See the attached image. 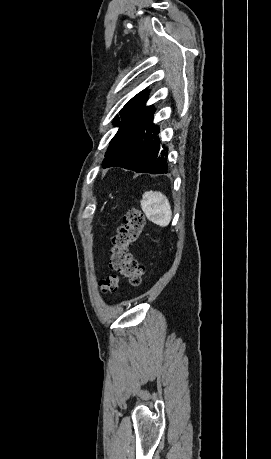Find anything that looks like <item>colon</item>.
Here are the masks:
<instances>
[{"mask_svg":"<svg viewBox=\"0 0 271 459\" xmlns=\"http://www.w3.org/2000/svg\"><path fill=\"white\" fill-rule=\"evenodd\" d=\"M145 217L138 209H130L123 217V223L113 238L110 268L120 273L133 286L142 282L144 267L134 258L131 248L142 236L145 229ZM104 293L118 290V277L110 275L99 283Z\"/></svg>","mask_w":271,"mask_h":459,"instance_id":"colon-1","label":"colon"}]
</instances>
